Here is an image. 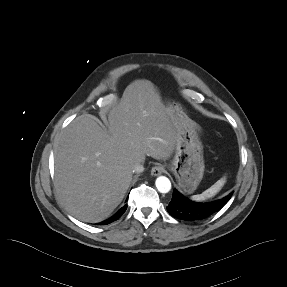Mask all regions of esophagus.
<instances>
[{
	"label": "esophagus",
	"instance_id": "34e87169",
	"mask_svg": "<svg viewBox=\"0 0 287 287\" xmlns=\"http://www.w3.org/2000/svg\"><path fill=\"white\" fill-rule=\"evenodd\" d=\"M164 172V167L160 164H157L156 166L152 167L151 174L153 176L161 175Z\"/></svg>",
	"mask_w": 287,
	"mask_h": 287
}]
</instances>
